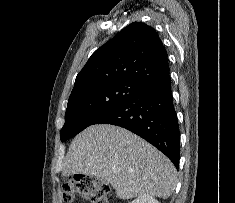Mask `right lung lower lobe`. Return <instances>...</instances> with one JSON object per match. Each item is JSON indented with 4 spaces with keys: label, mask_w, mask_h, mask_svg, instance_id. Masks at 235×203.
I'll use <instances>...</instances> for the list:
<instances>
[{
    "label": "right lung lower lobe",
    "mask_w": 235,
    "mask_h": 203,
    "mask_svg": "<svg viewBox=\"0 0 235 203\" xmlns=\"http://www.w3.org/2000/svg\"><path fill=\"white\" fill-rule=\"evenodd\" d=\"M94 124L123 127L147 140L178 169L180 134L169 72L144 84Z\"/></svg>",
    "instance_id": "right-lung-lower-lobe-1"
}]
</instances>
